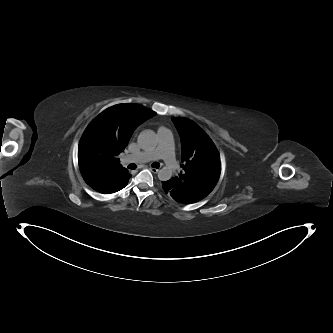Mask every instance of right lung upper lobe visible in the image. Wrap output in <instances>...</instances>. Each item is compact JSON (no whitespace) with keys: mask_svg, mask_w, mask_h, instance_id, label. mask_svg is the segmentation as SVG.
Masks as SVG:
<instances>
[{"mask_svg":"<svg viewBox=\"0 0 333 333\" xmlns=\"http://www.w3.org/2000/svg\"><path fill=\"white\" fill-rule=\"evenodd\" d=\"M154 115L156 113L146 107L124 103L114 105L96 117L103 121L108 138V144L100 153V160L93 166L94 175L100 182H118L128 174L117 156L124 151L136 127Z\"/></svg>","mask_w":333,"mask_h":333,"instance_id":"obj_1","label":"right lung upper lobe"}]
</instances>
